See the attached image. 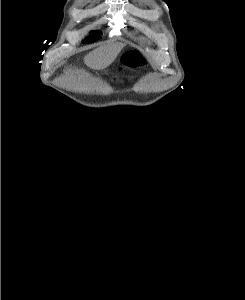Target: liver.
<instances>
[{
    "label": "liver",
    "mask_w": 245,
    "mask_h": 300,
    "mask_svg": "<svg viewBox=\"0 0 245 300\" xmlns=\"http://www.w3.org/2000/svg\"><path fill=\"white\" fill-rule=\"evenodd\" d=\"M123 44H116L112 47H102L90 52L85 57V63L94 69H103L109 66L118 56Z\"/></svg>",
    "instance_id": "6515ba94"
}]
</instances>
